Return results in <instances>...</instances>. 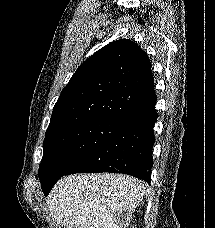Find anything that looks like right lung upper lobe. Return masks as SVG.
Here are the masks:
<instances>
[{"label":"right lung upper lobe","mask_w":215,"mask_h":228,"mask_svg":"<svg viewBox=\"0 0 215 228\" xmlns=\"http://www.w3.org/2000/svg\"><path fill=\"white\" fill-rule=\"evenodd\" d=\"M151 65L133 41L116 40L78 67L56 102L46 134L96 117L131 122L154 110Z\"/></svg>","instance_id":"obj_1"}]
</instances>
